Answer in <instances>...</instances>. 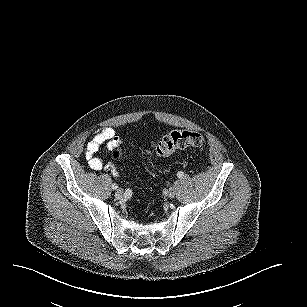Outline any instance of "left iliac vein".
<instances>
[{"instance_id": "4c4485c4", "label": "left iliac vein", "mask_w": 307, "mask_h": 307, "mask_svg": "<svg viewBox=\"0 0 307 307\" xmlns=\"http://www.w3.org/2000/svg\"><path fill=\"white\" fill-rule=\"evenodd\" d=\"M167 196L169 198H174L176 196V190L174 187L170 188L168 191H167Z\"/></svg>"}]
</instances>
